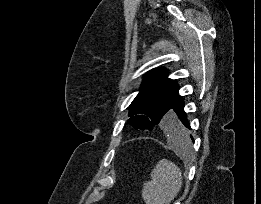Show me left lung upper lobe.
Wrapping results in <instances>:
<instances>
[{"mask_svg":"<svg viewBox=\"0 0 261 204\" xmlns=\"http://www.w3.org/2000/svg\"><path fill=\"white\" fill-rule=\"evenodd\" d=\"M178 89L176 81L167 78L165 69L148 72L139 94L130 105L128 123L142 130H152L155 125L162 127L178 96Z\"/></svg>","mask_w":261,"mask_h":204,"instance_id":"left-lung-upper-lobe-1","label":"left lung upper lobe"}]
</instances>
